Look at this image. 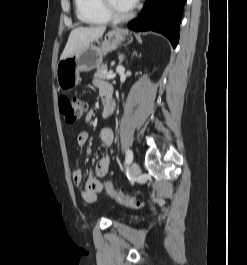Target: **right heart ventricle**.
Returning a JSON list of instances; mask_svg holds the SVG:
<instances>
[{"instance_id":"1","label":"right heart ventricle","mask_w":247,"mask_h":265,"mask_svg":"<svg viewBox=\"0 0 247 265\" xmlns=\"http://www.w3.org/2000/svg\"><path fill=\"white\" fill-rule=\"evenodd\" d=\"M77 17L84 23L103 25L110 21L103 10L102 0H74Z\"/></svg>"}]
</instances>
